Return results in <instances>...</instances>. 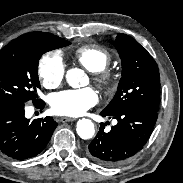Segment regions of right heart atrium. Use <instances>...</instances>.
Returning <instances> with one entry per match:
<instances>
[{
  "label": "right heart atrium",
  "instance_id": "d8ad5b80",
  "mask_svg": "<svg viewBox=\"0 0 183 183\" xmlns=\"http://www.w3.org/2000/svg\"><path fill=\"white\" fill-rule=\"evenodd\" d=\"M37 74L45 88L58 87L65 76V65L61 55L55 51L44 54L39 60Z\"/></svg>",
  "mask_w": 183,
  "mask_h": 183
}]
</instances>
